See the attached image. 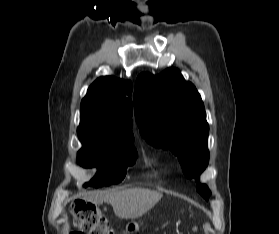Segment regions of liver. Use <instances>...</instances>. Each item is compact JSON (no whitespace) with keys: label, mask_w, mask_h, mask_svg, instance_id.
Returning a JSON list of instances; mask_svg holds the SVG:
<instances>
[{"label":"liver","mask_w":279,"mask_h":234,"mask_svg":"<svg viewBox=\"0 0 279 234\" xmlns=\"http://www.w3.org/2000/svg\"><path fill=\"white\" fill-rule=\"evenodd\" d=\"M162 198V194L142 188L125 189L106 193H96L88 200L94 204L107 202L114 213L122 219H136L144 215Z\"/></svg>","instance_id":"liver-1"}]
</instances>
